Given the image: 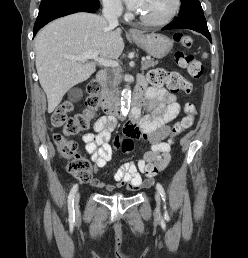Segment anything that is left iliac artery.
<instances>
[{"label":"left iliac artery","mask_w":248,"mask_h":258,"mask_svg":"<svg viewBox=\"0 0 248 258\" xmlns=\"http://www.w3.org/2000/svg\"><path fill=\"white\" fill-rule=\"evenodd\" d=\"M156 188H157L158 192L160 193V195H161V197L163 199L164 209H166V204H165L166 194H165L164 188H163V186L160 183H157Z\"/></svg>","instance_id":"1"}]
</instances>
